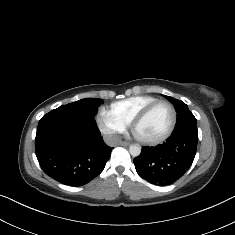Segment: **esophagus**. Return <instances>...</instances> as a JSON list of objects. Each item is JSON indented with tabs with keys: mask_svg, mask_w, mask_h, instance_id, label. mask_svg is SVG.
Here are the masks:
<instances>
[{
	"mask_svg": "<svg viewBox=\"0 0 235 235\" xmlns=\"http://www.w3.org/2000/svg\"><path fill=\"white\" fill-rule=\"evenodd\" d=\"M120 145H121V146H129V145H130V142L122 141V142H120Z\"/></svg>",
	"mask_w": 235,
	"mask_h": 235,
	"instance_id": "obj_1",
	"label": "esophagus"
}]
</instances>
